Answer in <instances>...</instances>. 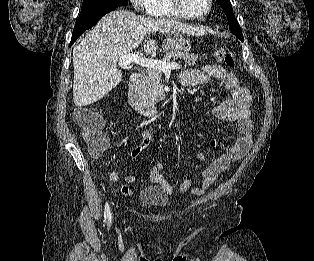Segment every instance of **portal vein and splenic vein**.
Returning <instances> with one entry per match:
<instances>
[{"mask_svg":"<svg viewBox=\"0 0 314 261\" xmlns=\"http://www.w3.org/2000/svg\"><path fill=\"white\" fill-rule=\"evenodd\" d=\"M116 61L126 67L130 64H136L140 65L142 67L146 68H154L158 69L163 72H170L173 69H180L181 65L175 62H166L163 60H155V59H150V58H145L142 56H139L135 53H127L124 54L121 58L116 59Z\"/></svg>","mask_w":314,"mask_h":261,"instance_id":"obj_1","label":"portal vein and splenic vein"}]
</instances>
